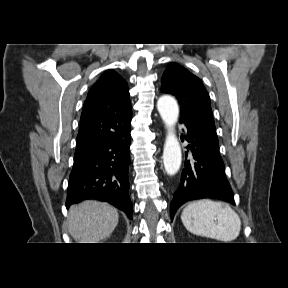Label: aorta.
Returning <instances> with one entry per match:
<instances>
[{"mask_svg": "<svg viewBox=\"0 0 288 288\" xmlns=\"http://www.w3.org/2000/svg\"><path fill=\"white\" fill-rule=\"evenodd\" d=\"M157 109L167 128L163 150L164 168L168 175H175L180 169L182 160L180 143L174 129L179 115L178 104L173 97L164 95L159 98Z\"/></svg>", "mask_w": 288, "mask_h": 288, "instance_id": "aorta-1", "label": "aorta"}]
</instances>
